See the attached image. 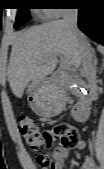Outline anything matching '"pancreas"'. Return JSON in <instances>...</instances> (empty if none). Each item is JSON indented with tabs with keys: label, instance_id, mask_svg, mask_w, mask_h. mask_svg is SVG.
Wrapping results in <instances>:
<instances>
[{
	"label": "pancreas",
	"instance_id": "pancreas-1",
	"mask_svg": "<svg viewBox=\"0 0 104 169\" xmlns=\"http://www.w3.org/2000/svg\"><path fill=\"white\" fill-rule=\"evenodd\" d=\"M74 75L69 74L65 75L61 81V84L64 88H68L74 82Z\"/></svg>",
	"mask_w": 104,
	"mask_h": 169
}]
</instances>
